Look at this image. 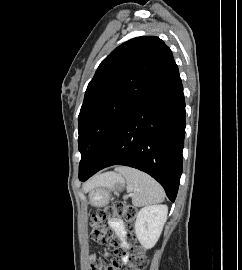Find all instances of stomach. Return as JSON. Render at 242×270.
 <instances>
[{
  "label": "stomach",
  "instance_id": "1",
  "mask_svg": "<svg viewBox=\"0 0 242 270\" xmlns=\"http://www.w3.org/2000/svg\"><path fill=\"white\" fill-rule=\"evenodd\" d=\"M123 186L124 180L121 178V176L113 174L109 181L96 185L91 189V204L97 207L104 206L109 201L110 192L121 190Z\"/></svg>",
  "mask_w": 242,
  "mask_h": 270
}]
</instances>
